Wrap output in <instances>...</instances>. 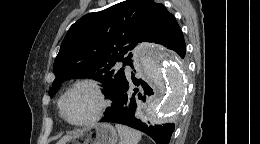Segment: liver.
Instances as JSON below:
<instances>
[{"mask_svg":"<svg viewBox=\"0 0 260 144\" xmlns=\"http://www.w3.org/2000/svg\"><path fill=\"white\" fill-rule=\"evenodd\" d=\"M70 136H64V137H62L58 142H57V144H66L69 140H70Z\"/></svg>","mask_w":260,"mask_h":144,"instance_id":"obj_1","label":"liver"}]
</instances>
